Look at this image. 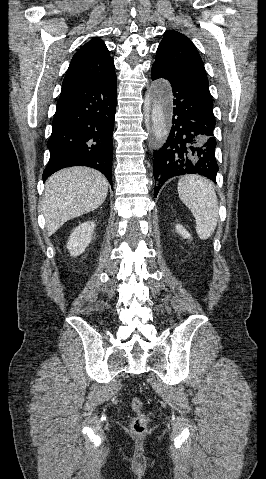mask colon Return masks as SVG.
<instances>
[{"label": "colon", "instance_id": "obj_1", "mask_svg": "<svg viewBox=\"0 0 266 479\" xmlns=\"http://www.w3.org/2000/svg\"><path fill=\"white\" fill-rule=\"evenodd\" d=\"M131 409L135 412L130 428L133 434L142 436L147 431V424L149 422V416L144 412L143 402L140 398L134 397L130 402Z\"/></svg>", "mask_w": 266, "mask_h": 479}]
</instances>
